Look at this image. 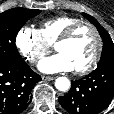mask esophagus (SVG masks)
Wrapping results in <instances>:
<instances>
[{
  "instance_id": "esophagus-1",
  "label": "esophagus",
  "mask_w": 114,
  "mask_h": 114,
  "mask_svg": "<svg viewBox=\"0 0 114 114\" xmlns=\"http://www.w3.org/2000/svg\"><path fill=\"white\" fill-rule=\"evenodd\" d=\"M42 79H43L44 81H51V80L54 79V77H53V76H45V75H43V76H42Z\"/></svg>"
}]
</instances>
